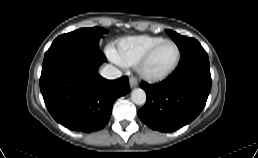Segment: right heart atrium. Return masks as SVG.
<instances>
[{
    "label": "right heart atrium",
    "instance_id": "d8ad5b80",
    "mask_svg": "<svg viewBox=\"0 0 258 158\" xmlns=\"http://www.w3.org/2000/svg\"><path fill=\"white\" fill-rule=\"evenodd\" d=\"M108 55L110 56V58H111L115 63H117V64H119V65H122V63L119 62V61L117 60V58L115 57V53H114V51H113L112 49H110V50L108 51Z\"/></svg>",
    "mask_w": 258,
    "mask_h": 158
}]
</instances>
